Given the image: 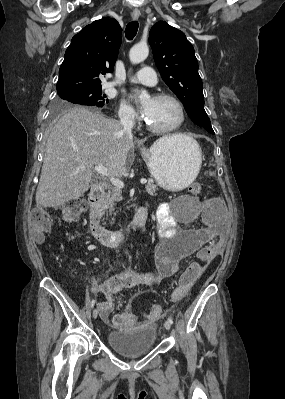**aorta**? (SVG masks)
Returning a JSON list of instances; mask_svg holds the SVG:
<instances>
[{"label":"aorta","instance_id":"1","mask_svg":"<svg viewBox=\"0 0 285 399\" xmlns=\"http://www.w3.org/2000/svg\"><path fill=\"white\" fill-rule=\"evenodd\" d=\"M149 54V48L146 43H138L134 45L129 52V59L131 63L138 64L143 62ZM150 98L149 94L146 91H142L139 93V100L141 103L147 101Z\"/></svg>","mask_w":285,"mask_h":399}]
</instances>
